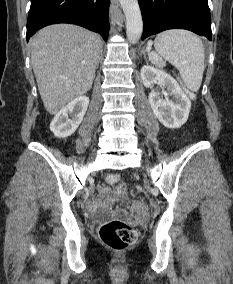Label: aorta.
Here are the masks:
<instances>
[{
    "label": "aorta",
    "instance_id": "aorta-1",
    "mask_svg": "<svg viewBox=\"0 0 233 284\" xmlns=\"http://www.w3.org/2000/svg\"><path fill=\"white\" fill-rule=\"evenodd\" d=\"M126 17V35L132 44L137 43L143 31V21L138 0H119Z\"/></svg>",
    "mask_w": 233,
    "mask_h": 284
}]
</instances>
